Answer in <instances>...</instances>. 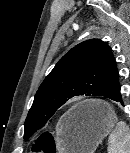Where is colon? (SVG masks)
Returning a JSON list of instances; mask_svg holds the SVG:
<instances>
[{
	"instance_id": "colon-1",
	"label": "colon",
	"mask_w": 130,
	"mask_h": 153,
	"mask_svg": "<svg viewBox=\"0 0 130 153\" xmlns=\"http://www.w3.org/2000/svg\"><path fill=\"white\" fill-rule=\"evenodd\" d=\"M54 149V139L50 133L40 135L33 145V152L36 153H54Z\"/></svg>"
}]
</instances>
